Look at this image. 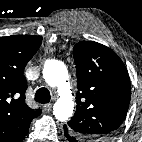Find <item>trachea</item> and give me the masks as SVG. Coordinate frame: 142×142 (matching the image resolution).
<instances>
[{"label": "trachea", "instance_id": "1", "mask_svg": "<svg viewBox=\"0 0 142 142\" xmlns=\"http://www.w3.org/2000/svg\"><path fill=\"white\" fill-rule=\"evenodd\" d=\"M35 101L46 104L50 102V92L46 88H40L35 94Z\"/></svg>", "mask_w": 142, "mask_h": 142}]
</instances>
